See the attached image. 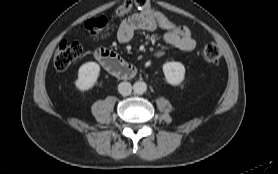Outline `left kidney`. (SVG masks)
Wrapping results in <instances>:
<instances>
[{
	"instance_id": "5707ae66",
	"label": "left kidney",
	"mask_w": 278,
	"mask_h": 174,
	"mask_svg": "<svg viewBox=\"0 0 278 174\" xmlns=\"http://www.w3.org/2000/svg\"><path fill=\"white\" fill-rule=\"evenodd\" d=\"M166 81L173 86L179 85L185 78V67L180 62H167L163 65Z\"/></svg>"
}]
</instances>
